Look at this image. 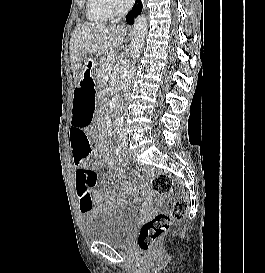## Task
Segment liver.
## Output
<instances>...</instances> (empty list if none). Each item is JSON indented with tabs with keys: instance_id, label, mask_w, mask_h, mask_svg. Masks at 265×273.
Masks as SVG:
<instances>
[{
	"instance_id": "1",
	"label": "liver",
	"mask_w": 265,
	"mask_h": 273,
	"mask_svg": "<svg viewBox=\"0 0 265 273\" xmlns=\"http://www.w3.org/2000/svg\"><path fill=\"white\" fill-rule=\"evenodd\" d=\"M123 26L105 23H81L75 27L70 40V61L75 81L84 70L85 62L93 56L113 53L123 42Z\"/></svg>"
}]
</instances>
